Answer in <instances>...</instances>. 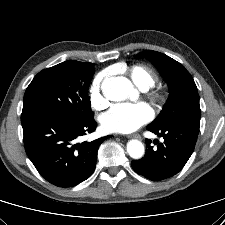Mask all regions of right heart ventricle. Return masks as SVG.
<instances>
[{
  "label": "right heart ventricle",
  "instance_id": "obj_1",
  "mask_svg": "<svg viewBox=\"0 0 225 225\" xmlns=\"http://www.w3.org/2000/svg\"><path fill=\"white\" fill-rule=\"evenodd\" d=\"M131 80L142 90L153 87L157 81V75L147 66L136 64L127 69Z\"/></svg>",
  "mask_w": 225,
  "mask_h": 225
}]
</instances>
